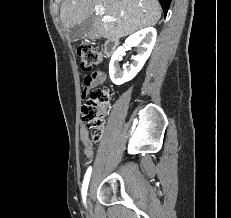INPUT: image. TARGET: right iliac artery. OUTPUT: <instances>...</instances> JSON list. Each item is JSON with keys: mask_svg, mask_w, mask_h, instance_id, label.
I'll use <instances>...</instances> for the list:
<instances>
[{"mask_svg": "<svg viewBox=\"0 0 231 218\" xmlns=\"http://www.w3.org/2000/svg\"><path fill=\"white\" fill-rule=\"evenodd\" d=\"M91 167L88 168L85 177H84V181L82 184V196H83V201L85 203V199H86V193H87V189H88V184H89V180H90V176H91Z\"/></svg>", "mask_w": 231, "mask_h": 218, "instance_id": "obj_1", "label": "right iliac artery"}]
</instances>
